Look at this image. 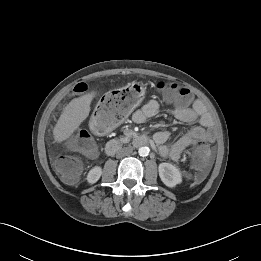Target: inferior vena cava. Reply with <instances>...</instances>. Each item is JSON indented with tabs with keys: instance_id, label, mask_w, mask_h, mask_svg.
I'll return each mask as SVG.
<instances>
[{
	"instance_id": "602c4592",
	"label": "inferior vena cava",
	"mask_w": 261,
	"mask_h": 261,
	"mask_svg": "<svg viewBox=\"0 0 261 261\" xmlns=\"http://www.w3.org/2000/svg\"><path fill=\"white\" fill-rule=\"evenodd\" d=\"M133 151V148L131 146L129 147H123L122 149H120L117 154H116V157L117 158H122V157H125V156H129Z\"/></svg>"
}]
</instances>
